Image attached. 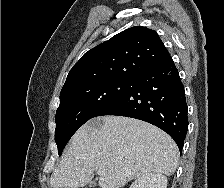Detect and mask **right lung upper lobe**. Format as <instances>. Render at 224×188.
Instances as JSON below:
<instances>
[{
    "mask_svg": "<svg viewBox=\"0 0 224 188\" xmlns=\"http://www.w3.org/2000/svg\"><path fill=\"white\" fill-rule=\"evenodd\" d=\"M169 57L156 31L135 26L86 52L70 70L62 90L110 79H133Z\"/></svg>",
    "mask_w": 224,
    "mask_h": 188,
    "instance_id": "1",
    "label": "right lung upper lobe"
}]
</instances>
